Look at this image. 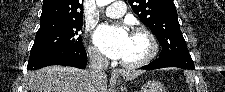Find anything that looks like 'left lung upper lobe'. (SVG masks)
I'll return each instance as SVG.
<instances>
[{"instance_id": "1", "label": "left lung upper lobe", "mask_w": 225, "mask_h": 92, "mask_svg": "<svg viewBox=\"0 0 225 92\" xmlns=\"http://www.w3.org/2000/svg\"><path fill=\"white\" fill-rule=\"evenodd\" d=\"M128 2L163 47L159 58L191 57L172 0H128Z\"/></svg>"}]
</instances>
